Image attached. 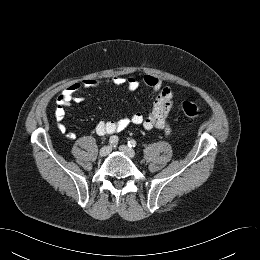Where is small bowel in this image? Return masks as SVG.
Instances as JSON below:
<instances>
[{
	"label": "small bowel",
	"mask_w": 260,
	"mask_h": 260,
	"mask_svg": "<svg viewBox=\"0 0 260 260\" xmlns=\"http://www.w3.org/2000/svg\"><path fill=\"white\" fill-rule=\"evenodd\" d=\"M143 84L149 87L156 97L150 112L144 116L141 113H133L123 116L117 120H100L95 126L96 133L100 136L108 134H116L123 131L130 125H139L144 129L159 128L166 135L171 131L169 116L173 109L174 90L164 84V82L154 75H146L143 78ZM106 83L113 86L125 85L130 91L136 90L140 81L136 77L115 76L101 82L97 79H84L70 84L66 87L58 97L57 109L55 111L58 128L61 132L66 133L67 138L73 140L76 138L75 133L67 132L64 124L65 108L72 102L81 100L79 92L83 89H91Z\"/></svg>",
	"instance_id": "obj_1"
}]
</instances>
